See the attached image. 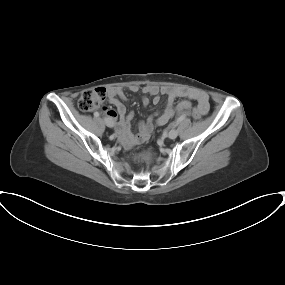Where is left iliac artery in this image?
Listing matches in <instances>:
<instances>
[{"label": "left iliac artery", "instance_id": "44dca946", "mask_svg": "<svg viewBox=\"0 0 285 285\" xmlns=\"http://www.w3.org/2000/svg\"><path fill=\"white\" fill-rule=\"evenodd\" d=\"M182 120H183V117L178 118L174 126H177Z\"/></svg>", "mask_w": 285, "mask_h": 285}]
</instances>
